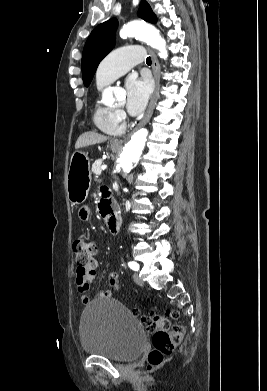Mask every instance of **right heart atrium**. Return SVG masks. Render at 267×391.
<instances>
[{
	"label": "right heart atrium",
	"mask_w": 267,
	"mask_h": 391,
	"mask_svg": "<svg viewBox=\"0 0 267 391\" xmlns=\"http://www.w3.org/2000/svg\"><path fill=\"white\" fill-rule=\"evenodd\" d=\"M119 117L122 118V117H123V114H122V113H119Z\"/></svg>",
	"instance_id": "d8ad5b80"
}]
</instances>
